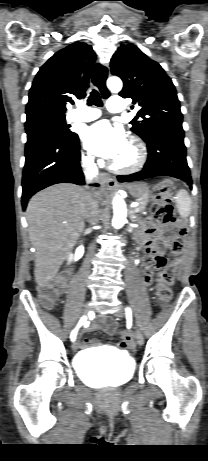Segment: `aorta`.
Masks as SVG:
<instances>
[{"label": "aorta", "mask_w": 208, "mask_h": 461, "mask_svg": "<svg viewBox=\"0 0 208 461\" xmlns=\"http://www.w3.org/2000/svg\"><path fill=\"white\" fill-rule=\"evenodd\" d=\"M122 81L118 77H110L107 80V87L112 92H119L122 89ZM121 193V192H119ZM127 208L126 203L122 197L117 194L113 199V219L112 225L114 228L119 229L126 223Z\"/></svg>", "instance_id": "obj_1"}]
</instances>
